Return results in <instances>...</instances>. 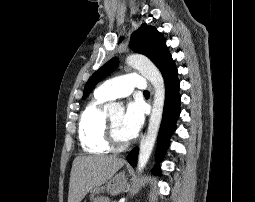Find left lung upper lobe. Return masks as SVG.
Masks as SVG:
<instances>
[{"mask_svg":"<svg viewBox=\"0 0 255 202\" xmlns=\"http://www.w3.org/2000/svg\"><path fill=\"white\" fill-rule=\"evenodd\" d=\"M130 47L136 53L147 56L159 68L164 82L177 74L176 66L166 46L165 38L155 27L142 24L132 34ZM117 66L118 59L115 57L97 70L86 83L83 99L88 96L98 82L113 72Z\"/></svg>","mask_w":255,"mask_h":202,"instance_id":"obj_1","label":"left lung upper lobe"}]
</instances>
